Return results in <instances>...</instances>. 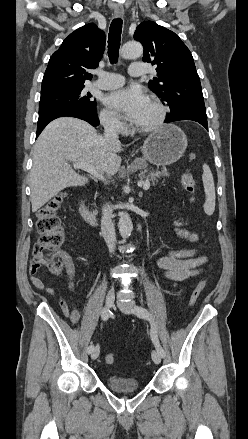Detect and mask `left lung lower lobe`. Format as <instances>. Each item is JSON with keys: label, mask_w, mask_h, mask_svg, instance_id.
Segmentation results:
<instances>
[{"label": "left lung lower lobe", "mask_w": 248, "mask_h": 439, "mask_svg": "<svg viewBox=\"0 0 248 439\" xmlns=\"http://www.w3.org/2000/svg\"><path fill=\"white\" fill-rule=\"evenodd\" d=\"M181 120H192L200 123L202 126H204L208 130L207 125V115L203 112L198 111H181L178 112L172 116H168L165 119V123L175 122V121H181Z\"/></svg>", "instance_id": "obj_1"}]
</instances>
